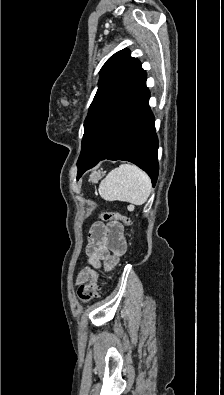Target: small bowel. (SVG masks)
<instances>
[{
	"instance_id": "small-bowel-1",
	"label": "small bowel",
	"mask_w": 224,
	"mask_h": 395,
	"mask_svg": "<svg viewBox=\"0 0 224 395\" xmlns=\"http://www.w3.org/2000/svg\"><path fill=\"white\" fill-rule=\"evenodd\" d=\"M126 250V241L123 236L122 226L119 224L117 233H114L108 224L95 222L89 234V243L86 247L88 263L94 268L104 264L112 268L116 264V256ZM112 253V254H111ZM89 276V267L83 268L77 277L78 283H83Z\"/></svg>"
}]
</instances>
